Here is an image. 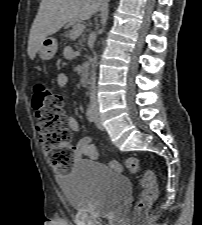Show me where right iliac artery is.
Segmentation results:
<instances>
[{"label": "right iliac artery", "instance_id": "82829eb1", "mask_svg": "<svg viewBox=\"0 0 202 225\" xmlns=\"http://www.w3.org/2000/svg\"><path fill=\"white\" fill-rule=\"evenodd\" d=\"M86 117L89 122H94L95 121V112L93 107H89L86 111Z\"/></svg>", "mask_w": 202, "mask_h": 225}]
</instances>
